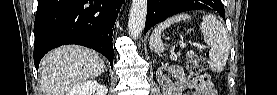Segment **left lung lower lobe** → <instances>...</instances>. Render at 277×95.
<instances>
[{
  "instance_id": "obj_1",
  "label": "left lung lower lobe",
  "mask_w": 277,
  "mask_h": 95,
  "mask_svg": "<svg viewBox=\"0 0 277 95\" xmlns=\"http://www.w3.org/2000/svg\"><path fill=\"white\" fill-rule=\"evenodd\" d=\"M197 6L184 5L181 0H147V17L144 33L166 18L189 10L211 9L217 11L224 19L225 12L221 0H197ZM206 3L204 6L203 3Z\"/></svg>"
}]
</instances>
